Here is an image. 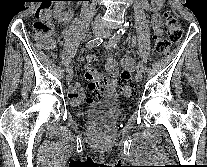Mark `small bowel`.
Wrapping results in <instances>:
<instances>
[{
  "instance_id": "obj_1",
  "label": "small bowel",
  "mask_w": 207,
  "mask_h": 167,
  "mask_svg": "<svg viewBox=\"0 0 207 167\" xmlns=\"http://www.w3.org/2000/svg\"><path fill=\"white\" fill-rule=\"evenodd\" d=\"M160 3L161 0H156ZM158 8V7H155ZM151 26L156 35L162 34V19L158 13H154L151 17ZM65 39V33L60 37V41ZM96 58L91 55L85 57V77L89 82V90L91 95L86 97L84 89L81 84L70 85L67 89L68 99L73 106H78L84 102L91 104L96 102L102 97L111 98L115 95V89L117 85L118 65L115 59L109 55L106 59V70L109 77H104L98 73L95 68ZM122 64L124 67L123 74L129 78L131 73L135 69V64L132 58L123 57Z\"/></svg>"
}]
</instances>
